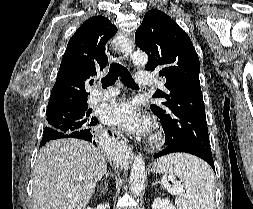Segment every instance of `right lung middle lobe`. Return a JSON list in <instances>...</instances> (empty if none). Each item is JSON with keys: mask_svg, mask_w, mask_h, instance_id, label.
<instances>
[{"mask_svg": "<svg viewBox=\"0 0 253 209\" xmlns=\"http://www.w3.org/2000/svg\"><path fill=\"white\" fill-rule=\"evenodd\" d=\"M87 110V103L75 106L59 107L47 112L46 127L40 146L58 137L56 133H71L92 126L94 116Z\"/></svg>", "mask_w": 253, "mask_h": 209, "instance_id": "obj_1", "label": "right lung middle lobe"}]
</instances>
